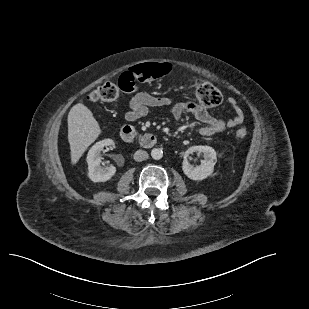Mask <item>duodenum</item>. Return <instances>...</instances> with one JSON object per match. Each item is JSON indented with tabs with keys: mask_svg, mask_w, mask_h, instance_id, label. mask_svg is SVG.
Returning <instances> with one entry per match:
<instances>
[{
	"mask_svg": "<svg viewBox=\"0 0 309 309\" xmlns=\"http://www.w3.org/2000/svg\"><path fill=\"white\" fill-rule=\"evenodd\" d=\"M120 137L124 142L137 141L146 148H151L157 143V138L152 133H139L134 127L125 125L121 128Z\"/></svg>",
	"mask_w": 309,
	"mask_h": 309,
	"instance_id": "1",
	"label": "duodenum"
}]
</instances>
